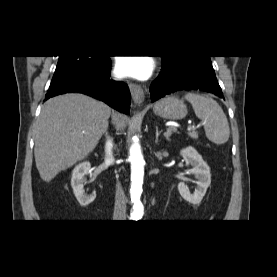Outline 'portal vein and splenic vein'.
<instances>
[{"instance_id": "portal-vein-and-splenic-vein-1", "label": "portal vein and splenic vein", "mask_w": 277, "mask_h": 277, "mask_svg": "<svg viewBox=\"0 0 277 277\" xmlns=\"http://www.w3.org/2000/svg\"><path fill=\"white\" fill-rule=\"evenodd\" d=\"M193 128H194V127L189 126V127H188V131L192 130ZM171 131H176V129H175V128H173V129H171V130L167 131V133H166V134H170V133H171Z\"/></svg>"}]
</instances>
